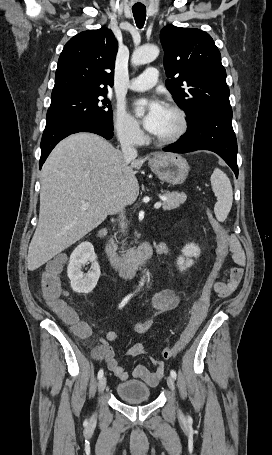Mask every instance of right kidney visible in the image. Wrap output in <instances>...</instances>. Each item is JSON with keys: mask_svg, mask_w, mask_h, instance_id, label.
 I'll return each instance as SVG.
<instances>
[{"mask_svg": "<svg viewBox=\"0 0 272 455\" xmlns=\"http://www.w3.org/2000/svg\"><path fill=\"white\" fill-rule=\"evenodd\" d=\"M92 263L90 271L84 275L82 266ZM68 277L73 291L77 293H90L96 286L100 277V266L94 247L90 242H82L72 252L67 268Z\"/></svg>", "mask_w": 272, "mask_h": 455, "instance_id": "obj_1", "label": "right kidney"}]
</instances>
